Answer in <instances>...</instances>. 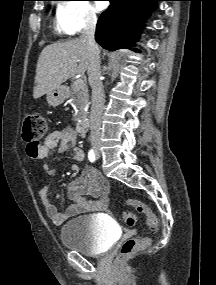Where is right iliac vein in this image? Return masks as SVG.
Instances as JSON below:
<instances>
[{
	"mask_svg": "<svg viewBox=\"0 0 216 285\" xmlns=\"http://www.w3.org/2000/svg\"><path fill=\"white\" fill-rule=\"evenodd\" d=\"M96 152L99 153L98 149H96Z\"/></svg>",
	"mask_w": 216,
	"mask_h": 285,
	"instance_id": "obj_1",
	"label": "right iliac vein"
}]
</instances>
